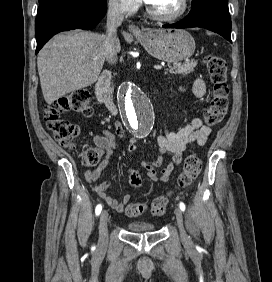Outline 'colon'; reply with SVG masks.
<instances>
[{"label": "colon", "mask_w": 272, "mask_h": 282, "mask_svg": "<svg viewBox=\"0 0 272 282\" xmlns=\"http://www.w3.org/2000/svg\"><path fill=\"white\" fill-rule=\"evenodd\" d=\"M207 71L212 83V99L210 105L204 111V120L208 125H216L225 117L229 107V87L227 84V67L224 60L215 55H209L205 59ZM68 112H76L84 116L92 114L90 94L87 91H79L66 95L50 104L45 112V122L52 132L56 142L63 148L72 149L74 141L80 135L77 124L63 118ZM101 158V152L97 147H89L83 153V164L87 167L95 166ZM201 169V161L195 155H189L183 164L182 172L178 178V186L190 185L198 176ZM129 183L132 187H139L142 183L137 173H131ZM168 207V197L159 196L153 199L149 206L150 213L154 216H163ZM147 210L144 203H132L125 207L124 212L130 217L140 216Z\"/></svg>", "instance_id": "obj_1"}]
</instances>
